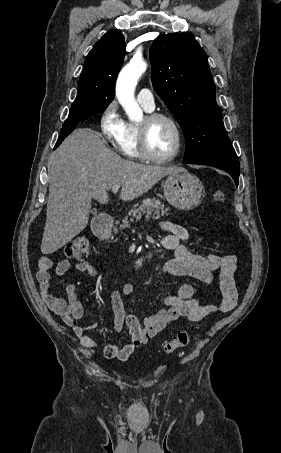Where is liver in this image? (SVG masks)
<instances>
[{"label":"liver","instance_id":"1","mask_svg":"<svg viewBox=\"0 0 281 453\" xmlns=\"http://www.w3.org/2000/svg\"><path fill=\"white\" fill-rule=\"evenodd\" d=\"M47 216L41 253H55L87 227L91 200L109 202L107 190L121 184V200H134L183 166H153L121 158L92 128H76L50 158Z\"/></svg>","mask_w":281,"mask_h":453}]
</instances>
